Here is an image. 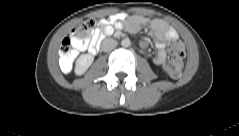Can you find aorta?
<instances>
[{
	"mask_svg": "<svg viewBox=\"0 0 239 136\" xmlns=\"http://www.w3.org/2000/svg\"><path fill=\"white\" fill-rule=\"evenodd\" d=\"M121 45H122L123 47H129V46L131 45V42H130V40H129L128 38H125V39H123V40L121 41Z\"/></svg>",
	"mask_w": 239,
	"mask_h": 136,
	"instance_id": "762f6f07",
	"label": "aorta"
}]
</instances>
